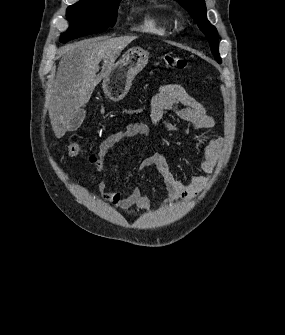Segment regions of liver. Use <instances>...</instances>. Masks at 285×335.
<instances>
[{"label": "liver", "mask_w": 285, "mask_h": 335, "mask_svg": "<svg viewBox=\"0 0 285 335\" xmlns=\"http://www.w3.org/2000/svg\"><path fill=\"white\" fill-rule=\"evenodd\" d=\"M136 38L138 36L110 40L91 38L60 48L62 58L49 96V118L56 138L65 136L72 116L88 104L101 78H105L122 50ZM102 60L104 64L101 78H97Z\"/></svg>", "instance_id": "obj_1"}]
</instances>
